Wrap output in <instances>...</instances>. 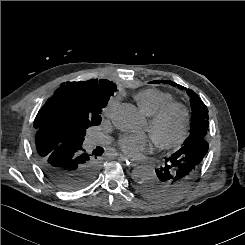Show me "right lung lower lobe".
Segmentation results:
<instances>
[{
  "label": "right lung lower lobe",
  "instance_id": "98d812e1",
  "mask_svg": "<svg viewBox=\"0 0 245 245\" xmlns=\"http://www.w3.org/2000/svg\"><path fill=\"white\" fill-rule=\"evenodd\" d=\"M37 161L44 175L57 188L72 192L87 187L99 172V162L82 149V142L55 144L42 140L36 146Z\"/></svg>",
  "mask_w": 245,
  "mask_h": 245
}]
</instances>
